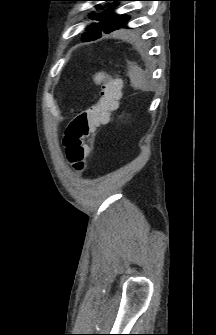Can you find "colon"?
I'll return each mask as SVG.
<instances>
[{"label":"colon","mask_w":216,"mask_h":335,"mask_svg":"<svg viewBox=\"0 0 216 335\" xmlns=\"http://www.w3.org/2000/svg\"><path fill=\"white\" fill-rule=\"evenodd\" d=\"M95 79L101 85L98 101L71 120L62 139L66 158L76 170L86 167L90 155V148L85 139L93 135L97 127L109 122L112 112L118 108L121 97V78H110L106 72L100 71Z\"/></svg>","instance_id":"colon-1"}]
</instances>
